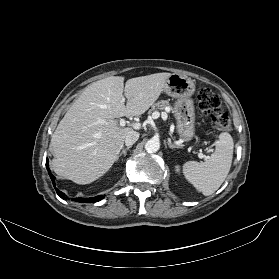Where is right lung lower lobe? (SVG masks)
<instances>
[{
    "mask_svg": "<svg viewBox=\"0 0 279 279\" xmlns=\"http://www.w3.org/2000/svg\"><path fill=\"white\" fill-rule=\"evenodd\" d=\"M48 159L46 160V166H48ZM50 178L52 180L53 185H55V177L51 174L50 169L47 168ZM55 187V186H54ZM57 194L61 197V198H65V194L61 191H59L58 189H56ZM104 198V196H96V197H92V198H72V201H78V202H87V203H94V202H98L100 200H102Z\"/></svg>",
    "mask_w": 279,
    "mask_h": 279,
    "instance_id": "right-lung-lower-lobe-1",
    "label": "right lung lower lobe"
}]
</instances>
